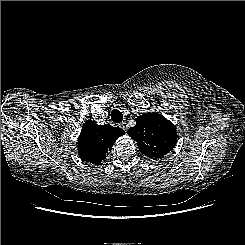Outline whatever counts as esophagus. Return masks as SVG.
<instances>
[{"label":"esophagus","instance_id":"34e87169","mask_svg":"<svg viewBox=\"0 0 245 245\" xmlns=\"http://www.w3.org/2000/svg\"><path fill=\"white\" fill-rule=\"evenodd\" d=\"M119 127L123 130V131H125L126 132V130H127V128H126V125H125V123L123 122V123H121V124H119Z\"/></svg>","mask_w":245,"mask_h":245}]
</instances>
